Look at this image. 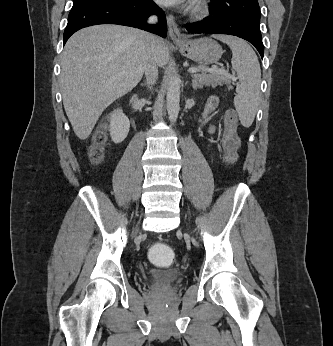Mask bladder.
Here are the masks:
<instances>
[{
    "mask_svg": "<svg viewBox=\"0 0 333 346\" xmlns=\"http://www.w3.org/2000/svg\"><path fill=\"white\" fill-rule=\"evenodd\" d=\"M151 277L163 284L176 285L182 280V275L180 271L175 269L155 271L151 274Z\"/></svg>",
    "mask_w": 333,
    "mask_h": 346,
    "instance_id": "bladder-1",
    "label": "bladder"
}]
</instances>
